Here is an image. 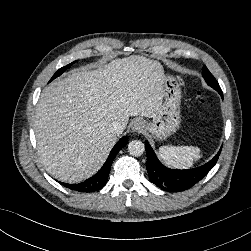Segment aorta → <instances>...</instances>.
<instances>
[{
	"mask_svg": "<svg viewBox=\"0 0 251 251\" xmlns=\"http://www.w3.org/2000/svg\"><path fill=\"white\" fill-rule=\"evenodd\" d=\"M145 151V146L140 140L130 141L128 144V152L130 155L138 157L141 156Z\"/></svg>",
	"mask_w": 251,
	"mask_h": 251,
	"instance_id": "obj_1",
	"label": "aorta"
}]
</instances>
